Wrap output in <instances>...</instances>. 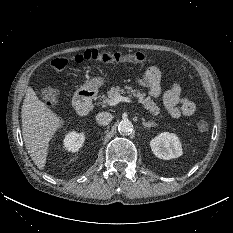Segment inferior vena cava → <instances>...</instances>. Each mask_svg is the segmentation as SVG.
<instances>
[{
	"label": "inferior vena cava",
	"instance_id": "inferior-vena-cava-1",
	"mask_svg": "<svg viewBox=\"0 0 233 233\" xmlns=\"http://www.w3.org/2000/svg\"><path fill=\"white\" fill-rule=\"evenodd\" d=\"M112 118V115L108 112H100L96 115V121L103 126L108 125Z\"/></svg>",
	"mask_w": 233,
	"mask_h": 233
}]
</instances>
